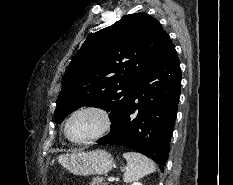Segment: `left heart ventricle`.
Here are the masks:
<instances>
[{
    "label": "left heart ventricle",
    "instance_id": "b2bd125f",
    "mask_svg": "<svg viewBox=\"0 0 233 185\" xmlns=\"http://www.w3.org/2000/svg\"><path fill=\"white\" fill-rule=\"evenodd\" d=\"M102 119L94 112H82L73 117L69 125V134L75 140H84L99 131Z\"/></svg>",
    "mask_w": 233,
    "mask_h": 185
}]
</instances>
